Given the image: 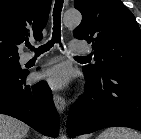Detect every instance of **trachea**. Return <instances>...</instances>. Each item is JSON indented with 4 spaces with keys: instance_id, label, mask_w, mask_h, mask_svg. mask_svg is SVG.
Here are the masks:
<instances>
[{
    "instance_id": "trachea-1",
    "label": "trachea",
    "mask_w": 141,
    "mask_h": 139,
    "mask_svg": "<svg viewBox=\"0 0 141 139\" xmlns=\"http://www.w3.org/2000/svg\"><path fill=\"white\" fill-rule=\"evenodd\" d=\"M63 3H64V0H56L54 4V9H53L54 26H53L52 39L48 41L45 45H42L38 48H34L30 44H27V46L31 48L32 50H34L36 54H42L50 50V48L53 47L55 43H60L61 41V11L63 7ZM60 46L62 45L60 44Z\"/></svg>"
}]
</instances>
